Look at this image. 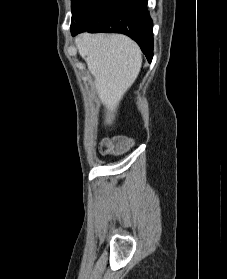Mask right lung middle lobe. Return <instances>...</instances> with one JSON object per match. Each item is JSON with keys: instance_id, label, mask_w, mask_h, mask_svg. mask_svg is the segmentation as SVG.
<instances>
[{"instance_id": "obj_1", "label": "right lung middle lobe", "mask_w": 227, "mask_h": 279, "mask_svg": "<svg viewBox=\"0 0 227 279\" xmlns=\"http://www.w3.org/2000/svg\"><path fill=\"white\" fill-rule=\"evenodd\" d=\"M89 1L90 0H71V8H72V23H71V25H73V23L79 17L81 11L83 10V8L86 6V4Z\"/></svg>"}]
</instances>
